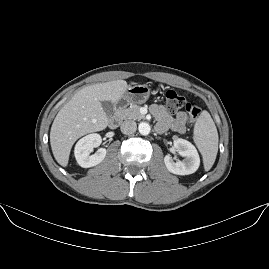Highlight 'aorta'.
<instances>
[{
	"label": "aorta",
	"instance_id": "obj_1",
	"mask_svg": "<svg viewBox=\"0 0 269 269\" xmlns=\"http://www.w3.org/2000/svg\"><path fill=\"white\" fill-rule=\"evenodd\" d=\"M138 129L141 134L146 135L150 132V125L147 122H140Z\"/></svg>",
	"mask_w": 269,
	"mask_h": 269
}]
</instances>
